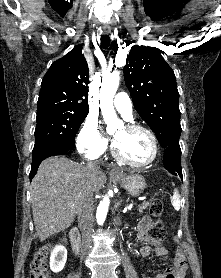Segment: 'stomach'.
I'll return each mask as SVG.
<instances>
[{
    "label": "stomach",
    "mask_w": 221,
    "mask_h": 278,
    "mask_svg": "<svg viewBox=\"0 0 221 278\" xmlns=\"http://www.w3.org/2000/svg\"><path fill=\"white\" fill-rule=\"evenodd\" d=\"M112 179L118 182L130 195L139 196L145 189V179L139 174L113 176Z\"/></svg>",
    "instance_id": "1"
}]
</instances>
